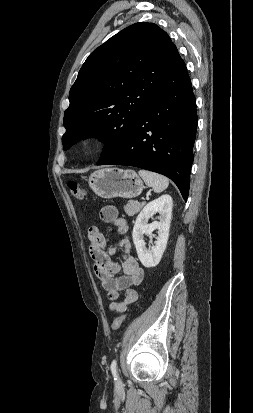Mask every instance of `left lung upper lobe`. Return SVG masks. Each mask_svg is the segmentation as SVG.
I'll use <instances>...</instances> for the list:
<instances>
[{
	"label": "left lung upper lobe",
	"mask_w": 253,
	"mask_h": 413,
	"mask_svg": "<svg viewBox=\"0 0 253 413\" xmlns=\"http://www.w3.org/2000/svg\"><path fill=\"white\" fill-rule=\"evenodd\" d=\"M179 54L154 23L133 24L96 48L70 89L64 113V150L87 137L105 143L97 165L129 140L147 105L170 75Z\"/></svg>",
	"instance_id": "5c2ea615"
}]
</instances>
